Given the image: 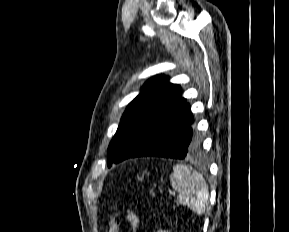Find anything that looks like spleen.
Returning <instances> with one entry per match:
<instances>
[{
  "instance_id": "spleen-1",
  "label": "spleen",
  "mask_w": 289,
  "mask_h": 232,
  "mask_svg": "<svg viewBox=\"0 0 289 232\" xmlns=\"http://www.w3.org/2000/svg\"><path fill=\"white\" fill-rule=\"evenodd\" d=\"M172 187L178 192L177 204L187 206L194 213H205L209 205V191L203 176L191 166L177 164L170 176Z\"/></svg>"
}]
</instances>
